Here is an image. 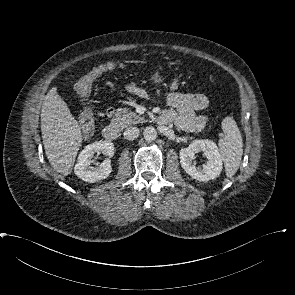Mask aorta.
I'll list each match as a JSON object with an SVG mask.
<instances>
[{
    "instance_id": "762f6f07",
    "label": "aorta",
    "mask_w": 295,
    "mask_h": 295,
    "mask_svg": "<svg viewBox=\"0 0 295 295\" xmlns=\"http://www.w3.org/2000/svg\"><path fill=\"white\" fill-rule=\"evenodd\" d=\"M144 138L147 140V141H153L156 139L157 137V131L154 127L152 126H149V127H146L144 129Z\"/></svg>"
}]
</instances>
